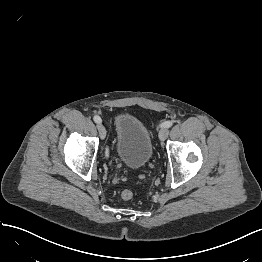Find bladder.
Listing matches in <instances>:
<instances>
[{
    "label": "bladder",
    "mask_w": 262,
    "mask_h": 262,
    "mask_svg": "<svg viewBox=\"0 0 262 262\" xmlns=\"http://www.w3.org/2000/svg\"><path fill=\"white\" fill-rule=\"evenodd\" d=\"M115 125L117 158L130 168L144 167L153 153L151 135L147 127L137 117L126 114L118 116Z\"/></svg>",
    "instance_id": "bladder-1"
}]
</instances>
